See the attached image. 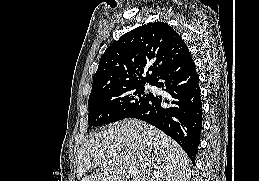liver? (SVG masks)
<instances>
[{
  "instance_id": "liver-1",
  "label": "liver",
  "mask_w": 259,
  "mask_h": 181,
  "mask_svg": "<svg viewBox=\"0 0 259 181\" xmlns=\"http://www.w3.org/2000/svg\"><path fill=\"white\" fill-rule=\"evenodd\" d=\"M130 168L137 171L131 181H189L191 177V162L184 150L140 120L125 119L94 132L80 147V181H124ZM92 169L96 170L86 175Z\"/></svg>"
}]
</instances>
